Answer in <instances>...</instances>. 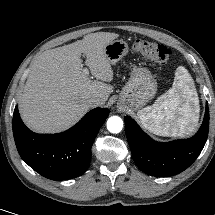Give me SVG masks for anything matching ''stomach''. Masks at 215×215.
<instances>
[{
	"label": "stomach",
	"instance_id": "1",
	"mask_svg": "<svg viewBox=\"0 0 215 215\" xmlns=\"http://www.w3.org/2000/svg\"><path fill=\"white\" fill-rule=\"evenodd\" d=\"M129 52L128 44L120 39L107 44L104 53L111 64H116ZM157 91V82L146 67L134 66L131 68V76L123 87L117 105L126 106L131 110H139L149 102Z\"/></svg>",
	"mask_w": 215,
	"mask_h": 215
}]
</instances>
